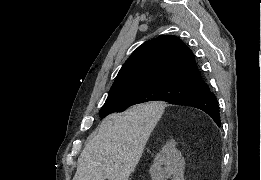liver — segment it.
<instances>
[{
    "label": "liver",
    "instance_id": "liver-1",
    "mask_svg": "<svg viewBox=\"0 0 261 180\" xmlns=\"http://www.w3.org/2000/svg\"><path fill=\"white\" fill-rule=\"evenodd\" d=\"M158 104H137L104 118L90 134L73 180H128L157 124Z\"/></svg>",
    "mask_w": 261,
    "mask_h": 180
}]
</instances>
